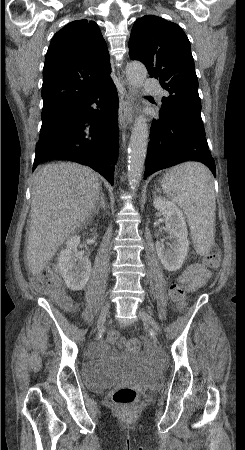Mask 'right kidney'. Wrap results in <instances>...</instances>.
Listing matches in <instances>:
<instances>
[{"instance_id":"right-kidney-1","label":"right kidney","mask_w":245,"mask_h":450,"mask_svg":"<svg viewBox=\"0 0 245 450\" xmlns=\"http://www.w3.org/2000/svg\"><path fill=\"white\" fill-rule=\"evenodd\" d=\"M80 237L75 235L66 242V248L58 257V266L66 286L73 290H82L90 277L91 262L88 257L78 253Z\"/></svg>"}]
</instances>
